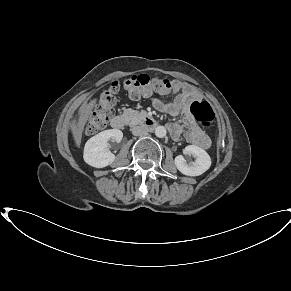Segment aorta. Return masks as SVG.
Returning <instances> with one entry per match:
<instances>
[{
	"instance_id": "762f6f07",
	"label": "aorta",
	"mask_w": 291,
	"mask_h": 291,
	"mask_svg": "<svg viewBox=\"0 0 291 291\" xmlns=\"http://www.w3.org/2000/svg\"><path fill=\"white\" fill-rule=\"evenodd\" d=\"M166 133H167V131H166V128L164 126H158L155 129V135L159 138L165 137Z\"/></svg>"
}]
</instances>
